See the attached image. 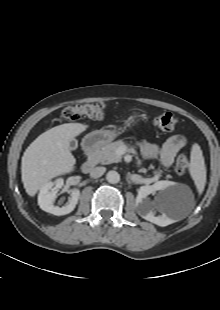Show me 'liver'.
Returning a JSON list of instances; mask_svg holds the SVG:
<instances>
[{"label":"liver","instance_id":"obj_1","mask_svg":"<svg viewBox=\"0 0 220 310\" xmlns=\"http://www.w3.org/2000/svg\"><path fill=\"white\" fill-rule=\"evenodd\" d=\"M88 128L81 123L55 126L39 135L26 149L21 162V178L26 193L35 196L49 180L74 170L76 159L69 142Z\"/></svg>","mask_w":220,"mask_h":310}]
</instances>
